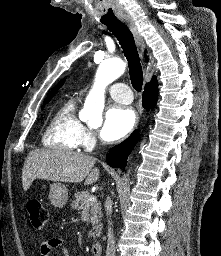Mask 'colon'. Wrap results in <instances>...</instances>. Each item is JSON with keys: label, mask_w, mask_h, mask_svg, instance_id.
<instances>
[{"label": "colon", "mask_w": 221, "mask_h": 256, "mask_svg": "<svg viewBox=\"0 0 221 256\" xmlns=\"http://www.w3.org/2000/svg\"><path fill=\"white\" fill-rule=\"evenodd\" d=\"M29 221L36 230H42L49 221V211L45 205L36 198L29 199L26 205Z\"/></svg>", "instance_id": "obj_1"}]
</instances>
